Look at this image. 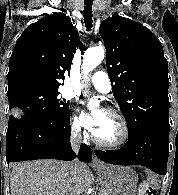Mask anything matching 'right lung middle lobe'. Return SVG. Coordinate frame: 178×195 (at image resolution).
I'll list each match as a JSON object with an SVG mask.
<instances>
[{
	"mask_svg": "<svg viewBox=\"0 0 178 195\" xmlns=\"http://www.w3.org/2000/svg\"><path fill=\"white\" fill-rule=\"evenodd\" d=\"M58 95V90H25L8 96L9 109L16 111L18 117L28 115L53 118L69 114V104Z\"/></svg>",
	"mask_w": 178,
	"mask_h": 195,
	"instance_id": "1",
	"label": "right lung middle lobe"
}]
</instances>
